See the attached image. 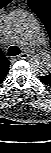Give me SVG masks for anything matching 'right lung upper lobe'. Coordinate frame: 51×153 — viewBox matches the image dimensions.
Segmentation results:
<instances>
[{
    "label": "right lung upper lobe",
    "mask_w": 51,
    "mask_h": 153,
    "mask_svg": "<svg viewBox=\"0 0 51 153\" xmlns=\"http://www.w3.org/2000/svg\"><path fill=\"white\" fill-rule=\"evenodd\" d=\"M12 0H0V9L5 7ZM9 70V61L0 50V84L4 81Z\"/></svg>",
    "instance_id": "1"
}]
</instances>
